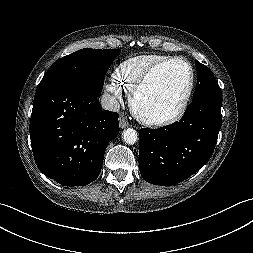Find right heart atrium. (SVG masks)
<instances>
[{"instance_id":"obj_1","label":"right heart atrium","mask_w":253,"mask_h":253,"mask_svg":"<svg viewBox=\"0 0 253 253\" xmlns=\"http://www.w3.org/2000/svg\"><path fill=\"white\" fill-rule=\"evenodd\" d=\"M105 88L107 91H109L112 94L114 100L117 103H121L123 101L121 91L117 86H115L114 84H106Z\"/></svg>"}]
</instances>
